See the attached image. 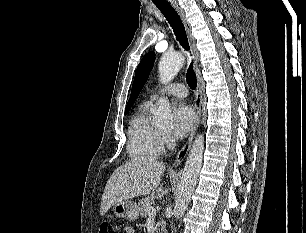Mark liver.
I'll return each mask as SVG.
<instances>
[{
    "label": "liver",
    "mask_w": 306,
    "mask_h": 233,
    "mask_svg": "<svg viewBox=\"0 0 306 233\" xmlns=\"http://www.w3.org/2000/svg\"><path fill=\"white\" fill-rule=\"evenodd\" d=\"M165 164L154 158H135L109 178L101 201V216L116 203L152 193L160 184Z\"/></svg>",
    "instance_id": "obj_1"
}]
</instances>
